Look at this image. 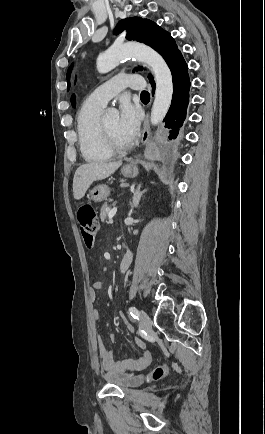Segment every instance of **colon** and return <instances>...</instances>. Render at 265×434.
<instances>
[{
    "label": "colon",
    "mask_w": 265,
    "mask_h": 434,
    "mask_svg": "<svg viewBox=\"0 0 265 434\" xmlns=\"http://www.w3.org/2000/svg\"><path fill=\"white\" fill-rule=\"evenodd\" d=\"M76 217L84 246L92 247L95 243L98 230V216L95 209L91 205L85 204L78 208ZM168 372L169 368L167 365H159L149 372L148 378L150 380H160L164 378Z\"/></svg>",
    "instance_id": "5ec220e1"
}]
</instances>
